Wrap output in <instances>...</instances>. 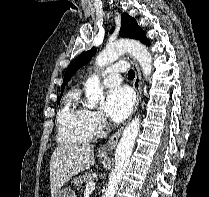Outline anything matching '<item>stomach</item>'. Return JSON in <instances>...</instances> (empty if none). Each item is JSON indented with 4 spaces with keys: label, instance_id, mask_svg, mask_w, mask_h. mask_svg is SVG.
Masks as SVG:
<instances>
[{
    "label": "stomach",
    "instance_id": "1",
    "mask_svg": "<svg viewBox=\"0 0 209 197\" xmlns=\"http://www.w3.org/2000/svg\"><path fill=\"white\" fill-rule=\"evenodd\" d=\"M54 197H76L73 190L69 188H64L61 190H58V192L55 194Z\"/></svg>",
    "mask_w": 209,
    "mask_h": 197
}]
</instances>
